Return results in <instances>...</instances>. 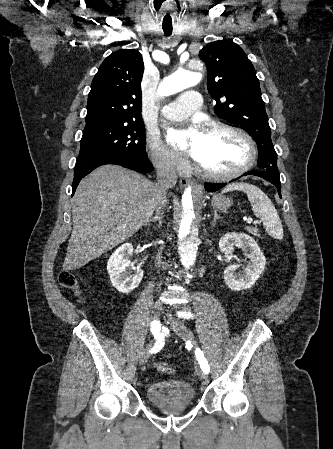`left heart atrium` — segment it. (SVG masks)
I'll return each instance as SVG.
<instances>
[{
    "instance_id": "1",
    "label": "left heart atrium",
    "mask_w": 333,
    "mask_h": 449,
    "mask_svg": "<svg viewBox=\"0 0 333 449\" xmlns=\"http://www.w3.org/2000/svg\"><path fill=\"white\" fill-rule=\"evenodd\" d=\"M203 135L204 133L199 128L191 125L188 128L170 132L167 139L175 147L185 146L188 154L196 158Z\"/></svg>"
}]
</instances>
